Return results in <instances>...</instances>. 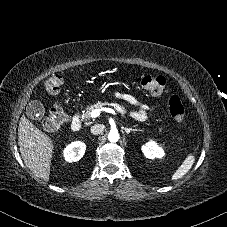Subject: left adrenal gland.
<instances>
[{"instance_id": "left-adrenal-gland-1", "label": "left adrenal gland", "mask_w": 227, "mask_h": 227, "mask_svg": "<svg viewBox=\"0 0 227 227\" xmlns=\"http://www.w3.org/2000/svg\"><path fill=\"white\" fill-rule=\"evenodd\" d=\"M125 132L127 134H129L131 131L135 132V131H140V129H137V128H124Z\"/></svg>"}]
</instances>
